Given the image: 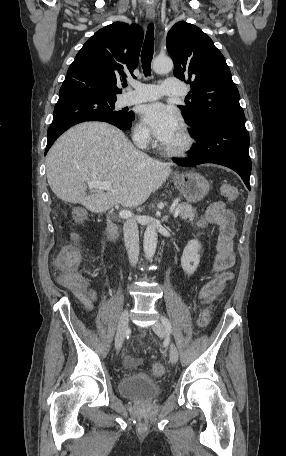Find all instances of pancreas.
<instances>
[{
	"label": "pancreas",
	"instance_id": "obj_1",
	"mask_svg": "<svg viewBox=\"0 0 286 456\" xmlns=\"http://www.w3.org/2000/svg\"><path fill=\"white\" fill-rule=\"evenodd\" d=\"M175 209H180V217L183 220L189 219V221H193L197 217L195 209L188 203H179Z\"/></svg>",
	"mask_w": 286,
	"mask_h": 456
}]
</instances>
